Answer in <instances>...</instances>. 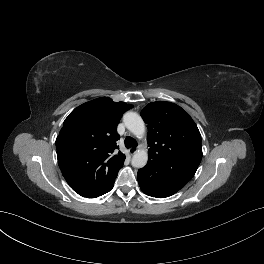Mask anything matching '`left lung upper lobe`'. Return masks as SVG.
Returning a JSON list of instances; mask_svg holds the SVG:
<instances>
[{"mask_svg":"<svg viewBox=\"0 0 264 264\" xmlns=\"http://www.w3.org/2000/svg\"><path fill=\"white\" fill-rule=\"evenodd\" d=\"M148 124V161L169 174L190 180L202 159L201 135L192 118L178 105L158 101L141 111Z\"/></svg>","mask_w":264,"mask_h":264,"instance_id":"obj_1","label":"left lung upper lobe"}]
</instances>
